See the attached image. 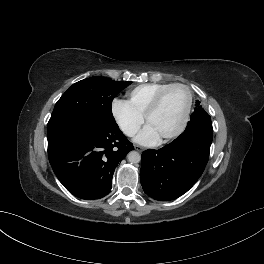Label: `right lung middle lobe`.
I'll return each instance as SVG.
<instances>
[{"mask_svg":"<svg viewBox=\"0 0 264 264\" xmlns=\"http://www.w3.org/2000/svg\"><path fill=\"white\" fill-rule=\"evenodd\" d=\"M131 83L91 77L73 84L56 103L48 122L47 136L81 122L115 123L111 103Z\"/></svg>","mask_w":264,"mask_h":264,"instance_id":"1","label":"right lung middle lobe"}]
</instances>
